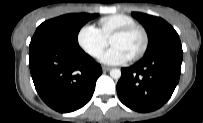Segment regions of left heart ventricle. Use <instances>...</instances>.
<instances>
[{
  "label": "left heart ventricle",
  "instance_id": "left-heart-ventricle-1",
  "mask_svg": "<svg viewBox=\"0 0 203 123\" xmlns=\"http://www.w3.org/2000/svg\"><path fill=\"white\" fill-rule=\"evenodd\" d=\"M111 45L119 47L130 57L135 55L143 45V35L140 31H133L124 36H117L111 40Z\"/></svg>",
  "mask_w": 203,
  "mask_h": 123
}]
</instances>
